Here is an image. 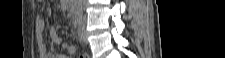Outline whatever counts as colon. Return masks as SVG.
Returning <instances> with one entry per match:
<instances>
[{
    "label": "colon",
    "mask_w": 225,
    "mask_h": 58,
    "mask_svg": "<svg viewBox=\"0 0 225 58\" xmlns=\"http://www.w3.org/2000/svg\"><path fill=\"white\" fill-rule=\"evenodd\" d=\"M80 58H87L86 54L80 56Z\"/></svg>",
    "instance_id": "colon-1"
}]
</instances>
